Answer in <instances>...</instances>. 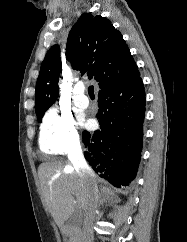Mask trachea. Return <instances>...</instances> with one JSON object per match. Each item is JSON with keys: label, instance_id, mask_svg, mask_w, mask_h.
I'll use <instances>...</instances> for the list:
<instances>
[{"label": "trachea", "instance_id": "3493384b", "mask_svg": "<svg viewBox=\"0 0 187 242\" xmlns=\"http://www.w3.org/2000/svg\"><path fill=\"white\" fill-rule=\"evenodd\" d=\"M88 94L91 98H94L95 97V94H94V87L93 86H89L88 88Z\"/></svg>", "mask_w": 187, "mask_h": 242}]
</instances>
